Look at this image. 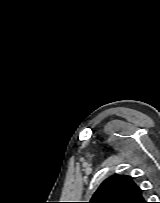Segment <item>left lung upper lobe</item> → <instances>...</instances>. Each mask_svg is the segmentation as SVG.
I'll use <instances>...</instances> for the list:
<instances>
[{
    "label": "left lung upper lobe",
    "instance_id": "5c2ea615",
    "mask_svg": "<svg viewBox=\"0 0 160 203\" xmlns=\"http://www.w3.org/2000/svg\"><path fill=\"white\" fill-rule=\"evenodd\" d=\"M89 203H147L142 190L125 175H113L106 179Z\"/></svg>",
    "mask_w": 160,
    "mask_h": 203
}]
</instances>
